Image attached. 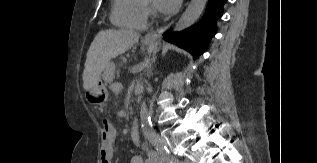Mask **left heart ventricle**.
I'll use <instances>...</instances> for the list:
<instances>
[{
  "label": "left heart ventricle",
  "mask_w": 317,
  "mask_h": 163,
  "mask_svg": "<svg viewBox=\"0 0 317 163\" xmlns=\"http://www.w3.org/2000/svg\"><path fill=\"white\" fill-rule=\"evenodd\" d=\"M149 4L153 5V0H146Z\"/></svg>",
  "instance_id": "obj_1"
}]
</instances>
